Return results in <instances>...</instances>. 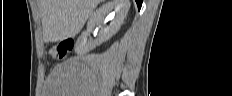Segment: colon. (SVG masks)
<instances>
[{
  "label": "colon",
  "mask_w": 232,
  "mask_h": 96,
  "mask_svg": "<svg viewBox=\"0 0 232 96\" xmlns=\"http://www.w3.org/2000/svg\"><path fill=\"white\" fill-rule=\"evenodd\" d=\"M73 48L74 40L65 39L53 45L49 50V54L51 57L61 60L66 58L67 55L73 50Z\"/></svg>",
  "instance_id": "1"
}]
</instances>
